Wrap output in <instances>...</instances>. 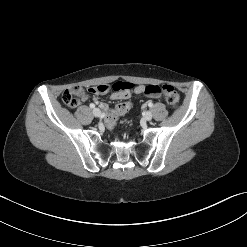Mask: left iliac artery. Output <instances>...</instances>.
<instances>
[{
  "label": "left iliac artery",
  "mask_w": 247,
  "mask_h": 247,
  "mask_svg": "<svg viewBox=\"0 0 247 247\" xmlns=\"http://www.w3.org/2000/svg\"><path fill=\"white\" fill-rule=\"evenodd\" d=\"M148 106L149 107H152L153 106V103L151 101L148 102Z\"/></svg>",
  "instance_id": "44dca946"
}]
</instances>
